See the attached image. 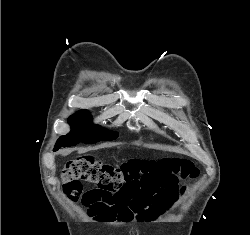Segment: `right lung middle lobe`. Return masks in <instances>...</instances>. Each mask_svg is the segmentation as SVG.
<instances>
[{"label":"right lung middle lobe","instance_id":"1","mask_svg":"<svg viewBox=\"0 0 250 235\" xmlns=\"http://www.w3.org/2000/svg\"><path fill=\"white\" fill-rule=\"evenodd\" d=\"M72 127L70 133L61 136L55 148L74 146L79 142L95 143L99 141H111L118 137L115 131L101 130V127L92 124L91 116L87 111H79L68 119Z\"/></svg>","mask_w":250,"mask_h":235}]
</instances>
